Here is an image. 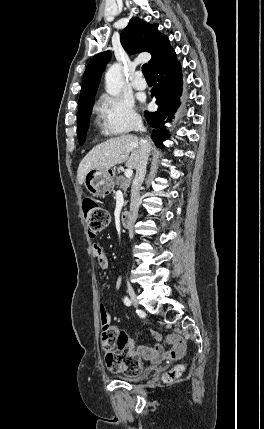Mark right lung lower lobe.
<instances>
[{
    "instance_id": "98d812e1",
    "label": "right lung lower lobe",
    "mask_w": 264,
    "mask_h": 429,
    "mask_svg": "<svg viewBox=\"0 0 264 429\" xmlns=\"http://www.w3.org/2000/svg\"><path fill=\"white\" fill-rule=\"evenodd\" d=\"M154 87L152 97L156 98L158 110L145 112V118L153 127L152 139L156 146L163 148L162 141L167 136L166 126L170 122L180 105L182 93V73L180 63L176 60V53L172 49L151 71Z\"/></svg>"
}]
</instances>
